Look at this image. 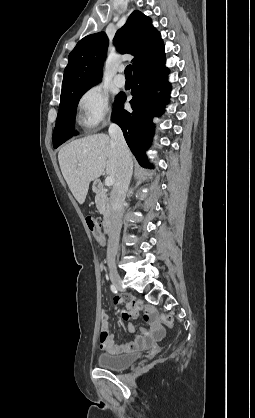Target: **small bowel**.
Returning <instances> with one entry per match:
<instances>
[{
  "mask_svg": "<svg viewBox=\"0 0 255 418\" xmlns=\"http://www.w3.org/2000/svg\"><path fill=\"white\" fill-rule=\"evenodd\" d=\"M104 267V264H101V268ZM115 307L119 308L120 301L116 299L114 301ZM144 311L143 318L145 321H151V315L153 314V310L149 306H142L137 301H129L126 304L125 309H121L119 311V315L123 320H130L134 319L138 316L140 310ZM109 327V319L106 314H102L101 317V330L99 336L100 348L109 354H121L125 352H129L133 349L141 348L146 346L149 340L151 339H160L164 336V328L160 327L155 329L151 332L143 331L141 335H136L134 339L123 345H117L114 343V338L111 333L108 331ZM129 330L133 331V327L130 325Z\"/></svg>",
  "mask_w": 255,
  "mask_h": 418,
  "instance_id": "small-bowel-1",
  "label": "small bowel"
}]
</instances>
